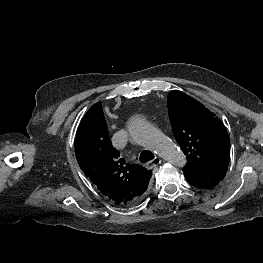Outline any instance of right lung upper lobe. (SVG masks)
Listing matches in <instances>:
<instances>
[{
  "label": "right lung upper lobe",
  "mask_w": 263,
  "mask_h": 263,
  "mask_svg": "<svg viewBox=\"0 0 263 263\" xmlns=\"http://www.w3.org/2000/svg\"><path fill=\"white\" fill-rule=\"evenodd\" d=\"M74 146L80 168L110 201L129 205L146 191L152 172L120 157L108 136L100 103L84 115Z\"/></svg>",
  "instance_id": "right-lung-upper-lobe-1"
}]
</instances>
